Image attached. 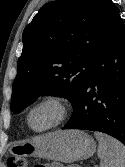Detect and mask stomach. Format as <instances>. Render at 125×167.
Wrapping results in <instances>:
<instances>
[{
	"instance_id": "stomach-1",
	"label": "stomach",
	"mask_w": 125,
	"mask_h": 167,
	"mask_svg": "<svg viewBox=\"0 0 125 167\" xmlns=\"http://www.w3.org/2000/svg\"><path fill=\"white\" fill-rule=\"evenodd\" d=\"M13 150L20 156L72 163L91 157L96 151V143L84 131L59 130L19 143Z\"/></svg>"
}]
</instances>
